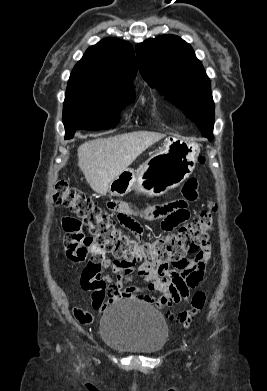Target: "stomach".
<instances>
[{
  "instance_id": "0dacf381",
  "label": "stomach",
  "mask_w": 267,
  "mask_h": 391,
  "mask_svg": "<svg viewBox=\"0 0 267 391\" xmlns=\"http://www.w3.org/2000/svg\"><path fill=\"white\" fill-rule=\"evenodd\" d=\"M199 153L197 143L170 137L137 170L126 169L121 172L109 184L108 192L117 197L132 190L160 196L178 187L192 174Z\"/></svg>"
}]
</instances>
